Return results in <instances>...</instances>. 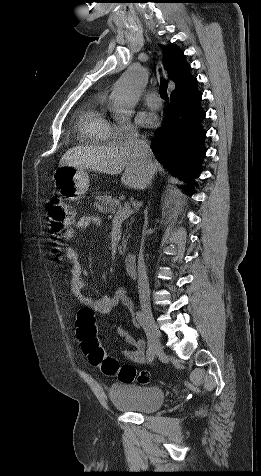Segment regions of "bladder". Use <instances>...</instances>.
I'll return each instance as SVG.
<instances>
[{"mask_svg": "<svg viewBox=\"0 0 261 476\" xmlns=\"http://www.w3.org/2000/svg\"><path fill=\"white\" fill-rule=\"evenodd\" d=\"M109 398L112 404L121 411L150 414L162 407L165 393L158 386H141L123 382L110 387Z\"/></svg>", "mask_w": 261, "mask_h": 476, "instance_id": "bladder-1", "label": "bladder"}]
</instances>
